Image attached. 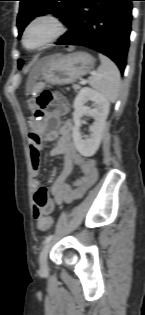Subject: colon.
Wrapping results in <instances>:
<instances>
[{"label":"colon","instance_id":"colon-1","mask_svg":"<svg viewBox=\"0 0 145 315\" xmlns=\"http://www.w3.org/2000/svg\"><path fill=\"white\" fill-rule=\"evenodd\" d=\"M38 107L35 111V118L48 114H60L67 109L64 98L58 94L49 91L43 92L37 98ZM53 225V219L50 216H44L38 221V228L42 231L50 229Z\"/></svg>","mask_w":145,"mask_h":315}]
</instances>
